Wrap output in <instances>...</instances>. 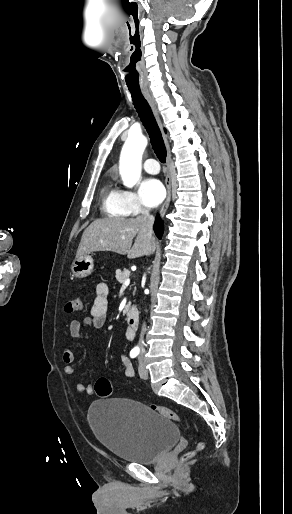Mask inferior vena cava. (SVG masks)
Wrapping results in <instances>:
<instances>
[{
  "mask_svg": "<svg viewBox=\"0 0 292 514\" xmlns=\"http://www.w3.org/2000/svg\"><path fill=\"white\" fill-rule=\"evenodd\" d=\"M141 214H143L142 218L144 220L145 230L147 232V236H148V238H152L154 216H150L149 210H143V212H141ZM145 330H146V326H145V324H143L142 330H141V334H140V342H139V344H140V356H142V354H144V352H145V350L143 348V336L145 334Z\"/></svg>",
  "mask_w": 292,
  "mask_h": 514,
  "instance_id": "obj_1",
  "label": "inferior vena cava"
}]
</instances>
